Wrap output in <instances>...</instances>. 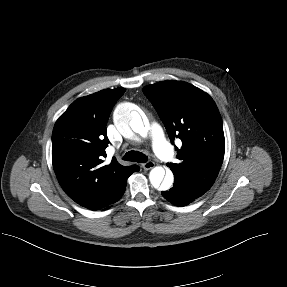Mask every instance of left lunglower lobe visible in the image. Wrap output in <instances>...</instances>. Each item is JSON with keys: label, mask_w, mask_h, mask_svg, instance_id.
Here are the masks:
<instances>
[{"label": "left lung lower lobe", "mask_w": 287, "mask_h": 287, "mask_svg": "<svg viewBox=\"0 0 287 287\" xmlns=\"http://www.w3.org/2000/svg\"><path fill=\"white\" fill-rule=\"evenodd\" d=\"M204 193L205 192H202L193 187L185 179L181 177H175L174 186L168 191H163L162 195L172 204L182 207L193 202Z\"/></svg>", "instance_id": "obj_1"}]
</instances>
